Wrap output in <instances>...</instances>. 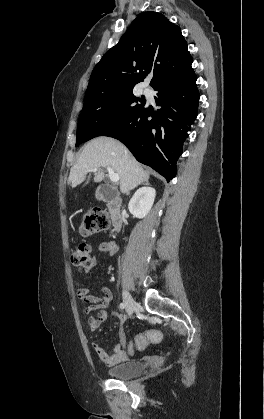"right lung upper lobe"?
<instances>
[{"label":"right lung upper lobe","mask_w":264,"mask_h":419,"mask_svg":"<svg viewBox=\"0 0 264 419\" xmlns=\"http://www.w3.org/2000/svg\"><path fill=\"white\" fill-rule=\"evenodd\" d=\"M187 43L177 25L157 12H144L95 66L85 94L133 90L152 73L150 86L193 72Z\"/></svg>","instance_id":"right-lung-upper-lobe-1"}]
</instances>
